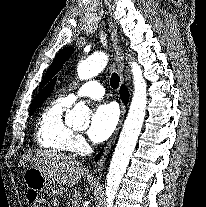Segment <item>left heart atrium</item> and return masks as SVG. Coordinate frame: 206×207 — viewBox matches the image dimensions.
<instances>
[{"mask_svg":"<svg viewBox=\"0 0 206 207\" xmlns=\"http://www.w3.org/2000/svg\"><path fill=\"white\" fill-rule=\"evenodd\" d=\"M119 120V110L115 103L99 105L91 119L88 136L93 142H102L109 138Z\"/></svg>","mask_w":206,"mask_h":207,"instance_id":"left-heart-atrium-1","label":"left heart atrium"}]
</instances>
